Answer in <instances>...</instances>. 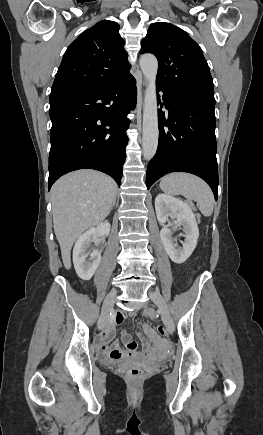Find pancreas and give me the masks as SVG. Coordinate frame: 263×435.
I'll return each instance as SVG.
<instances>
[{"instance_id": "obj_1", "label": "pancreas", "mask_w": 263, "mask_h": 435, "mask_svg": "<svg viewBox=\"0 0 263 435\" xmlns=\"http://www.w3.org/2000/svg\"><path fill=\"white\" fill-rule=\"evenodd\" d=\"M191 205V207L195 210V207H194V205L193 204H190Z\"/></svg>"}]
</instances>
